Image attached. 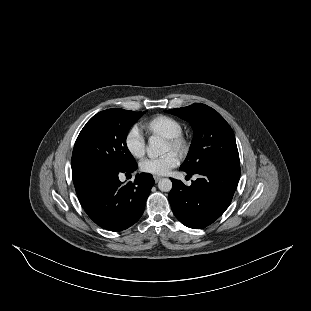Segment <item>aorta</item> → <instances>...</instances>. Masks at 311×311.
Segmentation results:
<instances>
[{"label": "aorta", "mask_w": 311, "mask_h": 311, "mask_svg": "<svg viewBox=\"0 0 311 311\" xmlns=\"http://www.w3.org/2000/svg\"><path fill=\"white\" fill-rule=\"evenodd\" d=\"M168 148H166L164 141L155 136L149 138V146L147 148V154L150 158H156L164 153H166ZM158 188L163 192H169L172 189V182L168 178H163L158 183Z\"/></svg>", "instance_id": "obj_1"}]
</instances>
